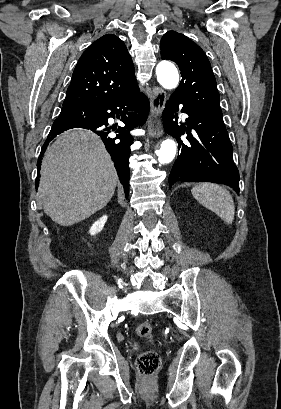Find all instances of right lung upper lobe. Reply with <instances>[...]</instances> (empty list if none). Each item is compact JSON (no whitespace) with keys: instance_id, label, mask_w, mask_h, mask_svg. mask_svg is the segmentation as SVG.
Instances as JSON below:
<instances>
[{"instance_id":"obj_1","label":"right lung upper lobe","mask_w":281,"mask_h":409,"mask_svg":"<svg viewBox=\"0 0 281 409\" xmlns=\"http://www.w3.org/2000/svg\"><path fill=\"white\" fill-rule=\"evenodd\" d=\"M135 88V70L124 42L106 34L80 57L63 105L95 104Z\"/></svg>"}]
</instances>
